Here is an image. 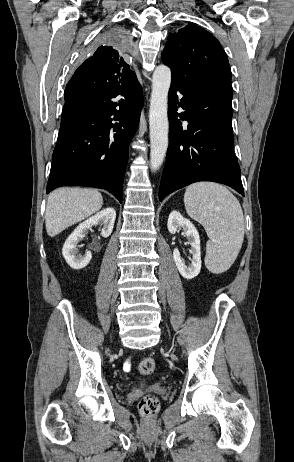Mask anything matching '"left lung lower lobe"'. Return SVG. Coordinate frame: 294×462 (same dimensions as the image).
I'll return each instance as SVG.
<instances>
[{
	"mask_svg": "<svg viewBox=\"0 0 294 462\" xmlns=\"http://www.w3.org/2000/svg\"><path fill=\"white\" fill-rule=\"evenodd\" d=\"M177 92L183 97L178 100ZM231 85H184L172 80L168 95L169 146L159 200L198 181L228 185L244 196L234 155ZM181 107L184 112L178 113ZM180 117V119H178ZM187 121L183 124L182 121Z\"/></svg>",
	"mask_w": 294,
	"mask_h": 462,
	"instance_id": "left-lung-lower-lobe-1",
	"label": "left lung lower lobe"
}]
</instances>
